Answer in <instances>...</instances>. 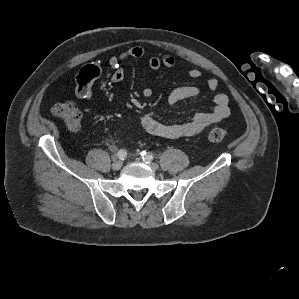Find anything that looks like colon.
<instances>
[{
  "label": "colon",
  "instance_id": "obj_1",
  "mask_svg": "<svg viewBox=\"0 0 299 299\" xmlns=\"http://www.w3.org/2000/svg\"><path fill=\"white\" fill-rule=\"evenodd\" d=\"M53 114L62 120L65 125L73 131H76L81 126L82 113L77 105L73 102H59L54 104L52 108ZM228 136V132L222 128H212L207 138L212 142H219Z\"/></svg>",
  "mask_w": 299,
  "mask_h": 299
}]
</instances>
